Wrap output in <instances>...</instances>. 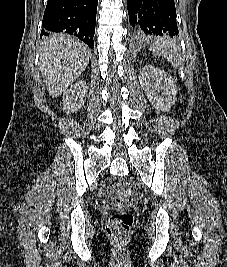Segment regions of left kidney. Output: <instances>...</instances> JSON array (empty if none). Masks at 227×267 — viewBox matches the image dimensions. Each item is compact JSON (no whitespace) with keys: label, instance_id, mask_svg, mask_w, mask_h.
Segmentation results:
<instances>
[{"label":"left kidney","instance_id":"1","mask_svg":"<svg viewBox=\"0 0 227 267\" xmlns=\"http://www.w3.org/2000/svg\"><path fill=\"white\" fill-rule=\"evenodd\" d=\"M139 81L147 98L155 109L168 111L176 100L177 88L172 77L153 66H145L139 72Z\"/></svg>","mask_w":227,"mask_h":267}]
</instances>
